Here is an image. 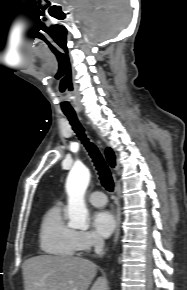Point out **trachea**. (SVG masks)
Listing matches in <instances>:
<instances>
[{
	"instance_id": "obj_1",
	"label": "trachea",
	"mask_w": 187,
	"mask_h": 290,
	"mask_svg": "<svg viewBox=\"0 0 187 290\" xmlns=\"http://www.w3.org/2000/svg\"><path fill=\"white\" fill-rule=\"evenodd\" d=\"M67 116L70 124L72 125L73 130L76 132L78 138L81 140V142L84 144L86 147L87 151L89 152V155L91 156L96 169L99 174V179L103 185V187L108 190L109 192H112L114 189V182L113 178L111 175V172L100 154L99 150L97 147L89 142V139L86 137L84 133V129L82 128L81 124L79 123L77 116L75 113H65Z\"/></svg>"
}]
</instances>
